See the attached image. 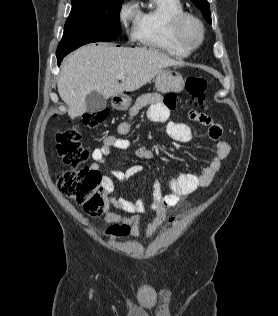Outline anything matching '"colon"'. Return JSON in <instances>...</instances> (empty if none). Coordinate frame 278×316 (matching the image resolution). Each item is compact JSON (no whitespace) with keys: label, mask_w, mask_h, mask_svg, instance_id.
<instances>
[{"label":"colon","mask_w":278,"mask_h":316,"mask_svg":"<svg viewBox=\"0 0 278 316\" xmlns=\"http://www.w3.org/2000/svg\"><path fill=\"white\" fill-rule=\"evenodd\" d=\"M207 82L201 77L186 79L185 88L195 106L205 107ZM107 118V112L86 113L82 118L84 127L93 129L100 126ZM56 149L63 163L69 168L57 178L60 192L83 206L90 216L98 217L104 212V188L101 175L84 166L90 158V152L82 145L81 128L74 124L56 134Z\"/></svg>","instance_id":"5ec220e1"}]
</instances>
